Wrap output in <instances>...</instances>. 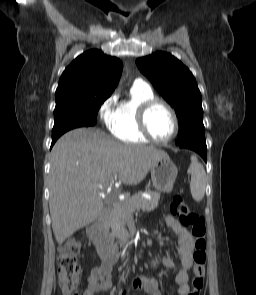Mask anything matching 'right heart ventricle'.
<instances>
[{
  "label": "right heart ventricle",
  "instance_id": "obj_1",
  "mask_svg": "<svg viewBox=\"0 0 256 295\" xmlns=\"http://www.w3.org/2000/svg\"><path fill=\"white\" fill-rule=\"evenodd\" d=\"M156 98L150 87L133 85L131 97L122 101L111 113L107 125L112 135L129 144L147 143L149 140L138 126L137 113L145 101Z\"/></svg>",
  "mask_w": 256,
  "mask_h": 295
}]
</instances>
